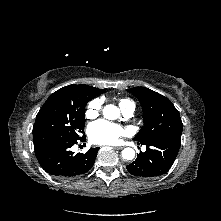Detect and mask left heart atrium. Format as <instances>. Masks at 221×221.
Listing matches in <instances>:
<instances>
[{
    "label": "left heart atrium",
    "instance_id": "39dd6f15",
    "mask_svg": "<svg viewBox=\"0 0 221 221\" xmlns=\"http://www.w3.org/2000/svg\"><path fill=\"white\" fill-rule=\"evenodd\" d=\"M124 134L125 130L120 125L105 120L92 123L88 129L89 138L95 144H114Z\"/></svg>",
    "mask_w": 221,
    "mask_h": 221
}]
</instances>
